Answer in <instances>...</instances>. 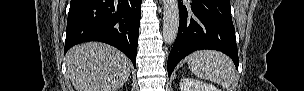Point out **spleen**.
Returning <instances> with one entry per match:
<instances>
[{
    "mask_svg": "<svg viewBox=\"0 0 304 91\" xmlns=\"http://www.w3.org/2000/svg\"><path fill=\"white\" fill-rule=\"evenodd\" d=\"M188 67L198 78L230 87L234 75L231 59L221 52L201 50L190 54L187 58Z\"/></svg>",
    "mask_w": 304,
    "mask_h": 91,
    "instance_id": "1",
    "label": "spleen"
}]
</instances>
